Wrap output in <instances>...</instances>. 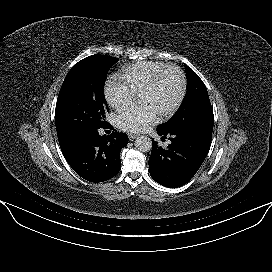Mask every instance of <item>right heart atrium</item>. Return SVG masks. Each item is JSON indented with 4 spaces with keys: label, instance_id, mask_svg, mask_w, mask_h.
<instances>
[{
    "label": "right heart atrium",
    "instance_id": "right-heart-atrium-1",
    "mask_svg": "<svg viewBox=\"0 0 272 272\" xmlns=\"http://www.w3.org/2000/svg\"><path fill=\"white\" fill-rule=\"evenodd\" d=\"M104 93L108 104L116 110L129 106L135 99V93L116 77L107 80Z\"/></svg>",
    "mask_w": 272,
    "mask_h": 272
}]
</instances>
